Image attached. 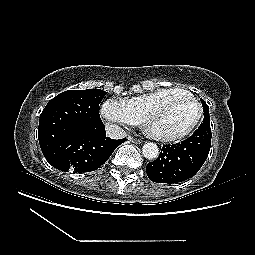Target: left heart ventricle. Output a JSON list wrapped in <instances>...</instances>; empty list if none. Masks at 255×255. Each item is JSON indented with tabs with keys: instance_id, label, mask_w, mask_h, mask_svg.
Listing matches in <instances>:
<instances>
[{
	"instance_id": "left-heart-ventricle-1",
	"label": "left heart ventricle",
	"mask_w": 255,
	"mask_h": 255,
	"mask_svg": "<svg viewBox=\"0 0 255 255\" xmlns=\"http://www.w3.org/2000/svg\"><path fill=\"white\" fill-rule=\"evenodd\" d=\"M197 106L184 97H176L149 121L148 130L159 134H176L187 129L197 116Z\"/></svg>"
}]
</instances>
